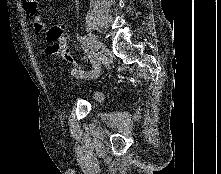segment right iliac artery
Instances as JSON below:
<instances>
[{
    "instance_id": "obj_1",
    "label": "right iliac artery",
    "mask_w": 221,
    "mask_h": 174,
    "mask_svg": "<svg viewBox=\"0 0 221 174\" xmlns=\"http://www.w3.org/2000/svg\"><path fill=\"white\" fill-rule=\"evenodd\" d=\"M80 41H81L83 50L87 53L89 57V50H90L89 40L86 37H81ZM89 59L92 64L91 70L84 71L80 69H73L71 74L75 76L76 78L84 79V80H92V79L97 78L101 69L100 61L98 57L97 58L93 57Z\"/></svg>"
}]
</instances>
